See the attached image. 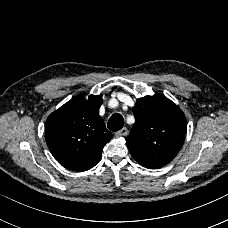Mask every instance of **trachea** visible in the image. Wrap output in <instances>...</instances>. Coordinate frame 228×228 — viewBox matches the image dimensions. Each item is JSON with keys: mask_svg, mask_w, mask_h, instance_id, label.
<instances>
[{"mask_svg": "<svg viewBox=\"0 0 228 228\" xmlns=\"http://www.w3.org/2000/svg\"><path fill=\"white\" fill-rule=\"evenodd\" d=\"M107 126L110 131L116 132L124 126V118L122 115L115 113L110 117Z\"/></svg>", "mask_w": 228, "mask_h": 228, "instance_id": "1", "label": "trachea"}]
</instances>
